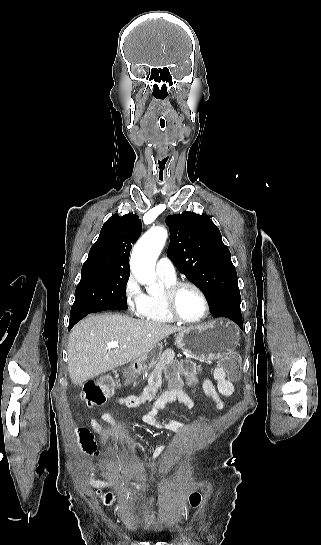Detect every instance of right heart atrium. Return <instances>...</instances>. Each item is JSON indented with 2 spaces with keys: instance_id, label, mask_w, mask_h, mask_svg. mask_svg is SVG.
Here are the masks:
<instances>
[{
  "instance_id": "right-heart-atrium-1",
  "label": "right heart atrium",
  "mask_w": 321,
  "mask_h": 545,
  "mask_svg": "<svg viewBox=\"0 0 321 545\" xmlns=\"http://www.w3.org/2000/svg\"><path fill=\"white\" fill-rule=\"evenodd\" d=\"M122 295L128 311L134 316L141 317L147 304V296L132 273L128 274L123 283Z\"/></svg>"
}]
</instances>
